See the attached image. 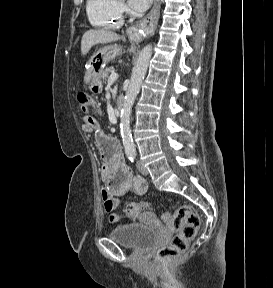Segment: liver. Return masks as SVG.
I'll return each mask as SVG.
<instances>
[{
  "mask_svg": "<svg viewBox=\"0 0 273 288\" xmlns=\"http://www.w3.org/2000/svg\"><path fill=\"white\" fill-rule=\"evenodd\" d=\"M120 36L115 32L104 29H91L86 31L81 40V53L86 55L89 50L97 44H106L118 41Z\"/></svg>",
  "mask_w": 273,
  "mask_h": 288,
  "instance_id": "liver-1",
  "label": "liver"
}]
</instances>
